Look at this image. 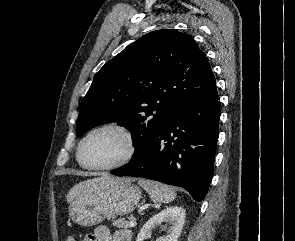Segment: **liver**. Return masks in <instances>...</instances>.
<instances>
[{
	"instance_id": "liver-1",
	"label": "liver",
	"mask_w": 295,
	"mask_h": 241,
	"mask_svg": "<svg viewBox=\"0 0 295 241\" xmlns=\"http://www.w3.org/2000/svg\"><path fill=\"white\" fill-rule=\"evenodd\" d=\"M116 180H119V178H114L109 174H102L100 177L88 179L82 182H79L75 186H73L70 191L68 192L66 198L67 202L71 203V201L81 193H84L92 188H96L99 185L111 183ZM130 181V180H129Z\"/></svg>"
}]
</instances>
